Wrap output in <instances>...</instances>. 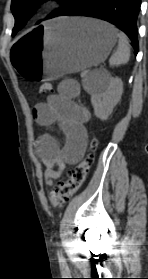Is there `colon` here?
Listing matches in <instances>:
<instances>
[{"label":"colon","mask_w":148,"mask_h":279,"mask_svg":"<svg viewBox=\"0 0 148 279\" xmlns=\"http://www.w3.org/2000/svg\"><path fill=\"white\" fill-rule=\"evenodd\" d=\"M53 91L51 83H42L39 87L40 93H50ZM97 147V141L92 139L89 149L84 158L76 165L67 170L65 181L53 187L49 193V199L53 207L60 208L68 202L83 186L91 165L94 161V152Z\"/></svg>","instance_id":"obj_1"}]
</instances>
